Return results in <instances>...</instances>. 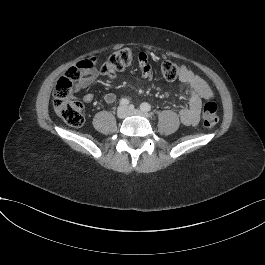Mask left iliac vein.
I'll list each match as a JSON object with an SVG mask.
<instances>
[{
    "label": "left iliac vein",
    "instance_id": "obj_1",
    "mask_svg": "<svg viewBox=\"0 0 265 265\" xmlns=\"http://www.w3.org/2000/svg\"><path fill=\"white\" fill-rule=\"evenodd\" d=\"M128 111V115H139V116H142V117H145V118H149V114L142 111V110H139V109H134V108H128L127 109Z\"/></svg>",
    "mask_w": 265,
    "mask_h": 265
}]
</instances>
